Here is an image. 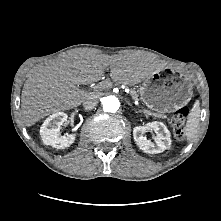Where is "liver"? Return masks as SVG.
Returning a JSON list of instances; mask_svg holds the SVG:
<instances>
[{"label": "liver", "mask_w": 221, "mask_h": 221, "mask_svg": "<svg viewBox=\"0 0 221 221\" xmlns=\"http://www.w3.org/2000/svg\"><path fill=\"white\" fill-rule=\"evenodd\" d=\"M110 66V77L124 85H135L158 72L153 59L138 53L105 55L90 49L63 53L28 74L21 95L22 121L32 126L59 110L73 109L90 94L79 85L97 82Z\"/></svg>", "instance_id": "6515ba94"}]
</instances>
